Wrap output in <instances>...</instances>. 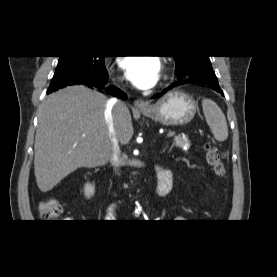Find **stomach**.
<instances>
[{
    "mask_svg": "<svg viewBox=\"0 0 277 277\" xmlns=\"http://www.w3.org/2000/svg\"><path fill=\"white\" fill-rule=\"evenodd\" d=\"M196 101L181 91H171L161 97L155 104L141 113L165 126H180L189 123L195 116Z\"/></svg>",
    "mask_w": 277,
    "mask_h": 277,
    "instance_id": "1",
    "label": "stomach"
}]
</instances>
